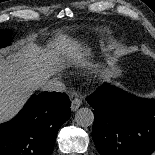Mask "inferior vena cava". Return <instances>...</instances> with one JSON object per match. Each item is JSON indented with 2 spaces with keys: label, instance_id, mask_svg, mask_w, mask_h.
Masks as SVG:
<instances>
[{
  "label": "inferior vena cava",
  "instance_id": "602c4592",
  "mask_svg": "<svg viewBox=\"0 0 155 155\" xmlns=\"http://www.w3.org/2000/svg\"><path fill=\"white\" fill-rule=\"evenodd\" d=\"M42 89L44 91L64 92L65 85L62 81L50 79L43 84Z\"/></svg>",
  "mask_w": 155,
  "mask_h": 155
}]
</instances>
